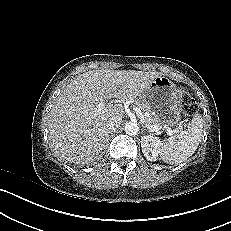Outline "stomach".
Here are the masks:
<instances>
[{
  "mask_svg": "<svg viewBox=\"0 0 231 231\" xmlns=\"http://www.w3.org/2000/svg\"><path fill=\"white\" fill-rule=\"evenodd\" d=\"M141 101L147 111L161 124L175 126L180 121V95L176 85L167 77H156L144 91Z\"/></svg>",
  "mask_w": 231,
  "mask_h": 231,
  "instance_id": "0dacf381",
  "label": "stomach"
}]
</instances>
